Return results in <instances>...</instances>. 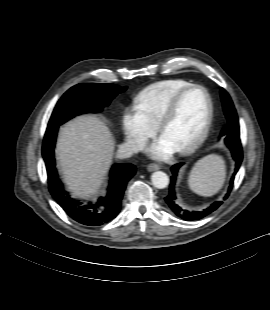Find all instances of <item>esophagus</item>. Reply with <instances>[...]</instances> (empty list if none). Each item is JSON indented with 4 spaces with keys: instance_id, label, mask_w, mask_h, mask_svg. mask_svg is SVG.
<instances>
[{
    "instance_id": "obj_1",
    "label": "esophagus",
    "mask_w": 270,
    "mask_h": 310,
    "mask_svg": "<svg viewBox=\"0 0 270 310\" xmlns=\"http://www.w3.org/2000/svg\"><path fill=\"white\" fill-rule=\"evenodd\" d=\"M160 166L154 163H151L147 166V170L148 171H155V170H159Z\"/></svg>"
}]
</instances>
